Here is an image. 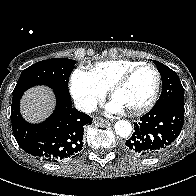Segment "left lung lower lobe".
I'll return each instance as SVG.
<instances>
[{
  "instance_id": "0a47b994",
  "label": "left lung lower lobe",
  "mask_w": 196,
  "mask_h": 196,
  "mask_svg": "<svg viewBox=\"0 0 196 196\" xmlns=\"http://www.w3.org/2000/svg\"><path fill=\"white\" fill-rule=\"evenodd\" d=\"M184 124V105L166 103L154 106L134 123V133L125 150L135 156L150 157L167 148L180 134Z\"/></svg>"
}]
</instances>
